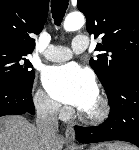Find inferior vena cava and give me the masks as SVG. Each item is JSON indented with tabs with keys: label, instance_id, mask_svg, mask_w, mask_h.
<instances>
[{
	"label": "inferior vena cava",
	"instance_id": "602c4592",
	"mask_svg": "<svg viewBox=\"0 0 139 150\" xmlns=\"http://www.w3.org/2000/svg\"><path fill=\"white\" fill-rule=\"evenodd\" d=\"M59 105L47 97L39 100L37 107L36 130L43 144V150H52L58 131L57 113Z\"/></svg>",
	"mask_w": 139,
	"mask_h": 150
}]
</instances>
